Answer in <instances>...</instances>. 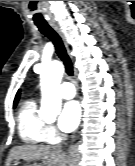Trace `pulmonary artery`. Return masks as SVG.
<instances>
[{"mask_svg":"<svg viewBox=\"0 0 135 166\" xmlns=\"http://www.w3.org/2000/svg\"><path fill=\"white\" fill-rule=\"evenodd\" d=\"M60 94L65 99L73 98L76 94L75 87L72 83L64 81L60 86Z\"/></svg>","mask_w":135,"mask_h":166,"instance_id":"e3ab8cb5","label":"pulmonary artery"}]
</instances>
